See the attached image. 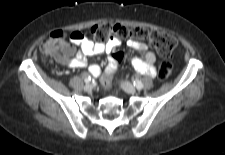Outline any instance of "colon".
I'll use <instances>...</instances> for the list:
<instances>
[{"mask_svg":"<svg viewBox=\"0 0 225 155\" xmlns=\"http://www.w3.org/2000/svg\"><path fill=\"white\" fill-rule=\"evenodd\" d=\"M71 34L72 32L67 33L62 30L52 32L42 43L41 51L43 58H67L72 53ZM88 34H90L98 42H105L109 39H116L120 42L131 38L139 40L146 39L162 55L171 54L177 46L176 39L170 34L160 31H149L144 28L129 29L121 24L109 22L92 26L88 30ZM123 59V54L116 52L110 57L108 64L113 63L115 66L119 67V63H121ZM108 64L105 66L104 72L101 74V86L105 90H109L113 86V83L110 80L112 78V74L107 69ZM173 71V64L170 62H165L159 70V78L162 80L167 79Z\"/></svg>","mask_w":225,"mask_h":155,"instance_id":"obj_1","label":"colon"}]
</instances>
